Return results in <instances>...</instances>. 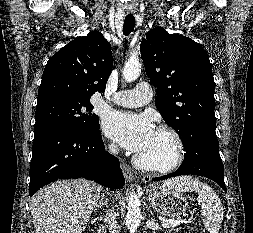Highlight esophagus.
Here are the masks:
<instances>
[{
	"instance_id": "1",
	"label": "esophagus",
	"mask_w": 253,
	"mask_h": 233,
	"mask_svg": "<svg viewBox=\"0 0 253 233\" xmlns=\"http://www.w3.org/2000/svg\"><path fill=\"white\" fill-rule=\"evenodd\" d=\"M128 13H131V12H128ZM122 171H123V174H124V177L125 179L128 181V182H132L134 180V174L133 172L130 170V168L122 163Z\"/></svg>"
}]
</instances>
